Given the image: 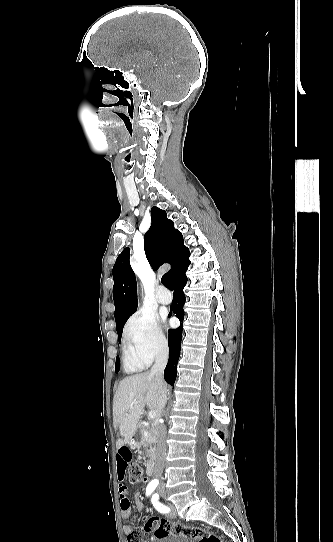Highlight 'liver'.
<instances>
[{
    "mask_svg": "<svg viewBox=\"0 0 333 542\" xmlns=\"http://www.w3.org/2000/svg\"><path fill=\"white\" fill-rule=\"evenodd\" d=\"M159 390L161 384H158L156 378L150 376L149 372L128 376L119 382L113 404V424L114 428H119L121 436L116 442L117 450L128 444L136 434L137 424L145 406L156 412Z\"/></svg>",
    "mask_w": 333,
    "mask_h": 542,
    "instance_id": "1",
    "label": "liver"
}]
</instances>
